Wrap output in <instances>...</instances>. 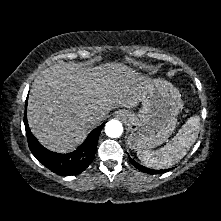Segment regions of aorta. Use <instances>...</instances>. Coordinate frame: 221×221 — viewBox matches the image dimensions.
I'll return each mask as SVG.
<instances>
[{
	"label": "aorta",
	"instance_id": "1",
	"mask_svg": "<svg viewBox=\"0 0 221 221\" xmlns=\"http://www.w3.org/2000/svg\"><path fill=\"white\" fill-rule=\"evenodd\" d=\"M105 132L111 138H118L123 133V126L118 120H110L106 123Z\"/></svg>",
	"mask_w": 221,
	"mask_h": 221
}]
</instances>
